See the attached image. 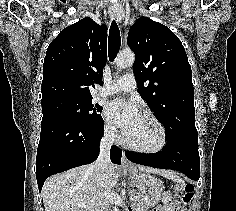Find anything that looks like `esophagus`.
<instances>
[{
	"instance_id": "1",
	"label": "esophagus",
	"mask_w": 236,
	"mask_h": 211,
	"mask_svg": "<svg viewBox=\"0 0 236 211\" xmlns=\"http://www.w3.org/2000/svg\"><path fill=\"white\" fill-rule=\"evenodd\" d=\"M108 13H109V16L111 18H115L117 16V11L114 8H110ZM133 166L134 165L127 159L125 153L122 152L121 167H123V168H130V167H133Z\"/></svg>"
}]
</instances>
